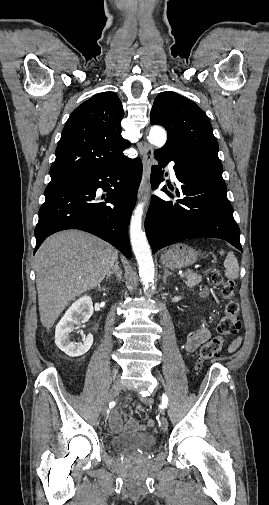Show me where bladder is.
<instances>
[{
	"label": "bladder",
	"instance_id": "1",
	"mask_svg": "<svg viewBox=\"0 0 269 505\" xmlns=\"http://www.w3.org/2000/svg\"><path fill=\"white\" fill-rule=\"evenodd\" d=\"M157 444V439L152 434L142 435H118L110 439V445L118 451L122 452H137L149 451Z\"/></svg>",
	"mask_w": 269,
	"mask_h": 505
}]
</instances>
